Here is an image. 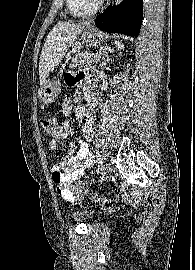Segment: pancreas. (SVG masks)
<instances>
[{"instance_id":"pancreas-1","label":"pancreas","mask_w":195,"mask_h":270,"mask_svg":"<svg viewBox=\"0 0 195 270\" xmlns=\"http://www.w3.org/2000/svg\"><path fill=\"white\" fill-rule=\"evenodd\" d=\"M100 60L99 56H92L84 51H79L74 55L71 61L72 67H86L88 65L97 63Z\"/></svg>"}]
</instances>
